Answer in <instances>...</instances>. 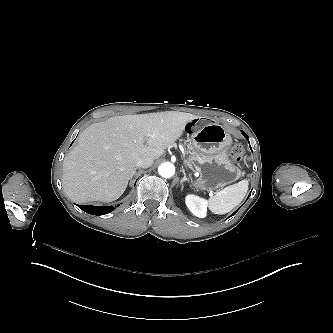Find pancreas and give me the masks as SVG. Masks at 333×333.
I'll return each mask as SVG.
<instances>
[{"mask_svg":"<svg viewBox=\"0 0 333 333\" xmlns=\"http://www.w3.org/2000/svg\"><path fill=\"white\" fill-rule=\"evenodd\" d=\"M186 165L190 167V164L188 162L186 163Z\"/></svg>","mask_w":333,"mask_h":333,"instance_id":"obj_1","label":"pancreas"}]
</instances>
